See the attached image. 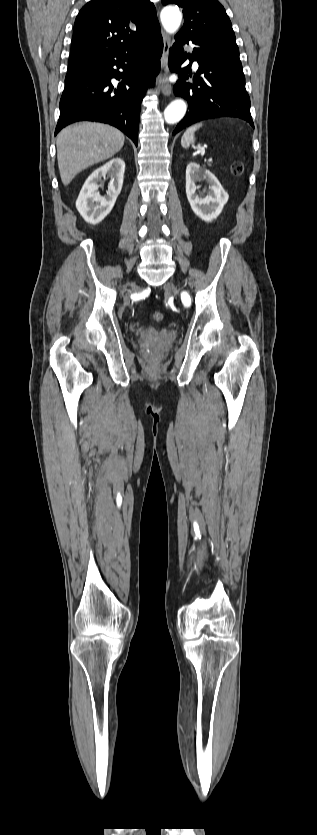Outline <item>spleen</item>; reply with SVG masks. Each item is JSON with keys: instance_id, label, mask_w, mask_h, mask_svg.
I'll return each mask as SVG.
<instances>
[{"instance_id": "3e777b00", "label": "spleen", "mask_w": 317, "mask_h": 835, "mask_svg": "<svg viewBox=\"0 0 317 835\" xmlns=\"http://www.w3.org/2000/svg\"><path fill=\"white\" fill-rule=\"evenodd\" d=\"M202 126V123H197L190 126L183 134L181 138V145L184 148H188L190 144L195 142L194 133L197 129Z\"/></svg>"}]
</instances>
